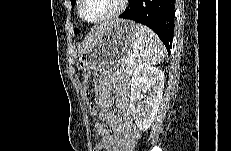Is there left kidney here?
<instances>
[{
    "instance_id": "obj_1",
    "label": "left kidney",
    "mask_w": 231,
    "mask_h": 151,
    "mask_svg": "<svg viewBox=\"0 0 231 151\" xmlns=\"http://www.w3.org/2000/svg\"><path fill=\"white\" fill-rule=\"evenodd\" d=\"M164 73L146 64L136 66L131 82L130 107L137 127L147 130L155 119L162 100ZM148 93L144 95L141 92ZM144 99L142 106L141 100Z\"/></svg>"
}]
</instances>
